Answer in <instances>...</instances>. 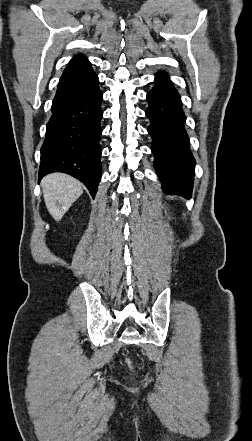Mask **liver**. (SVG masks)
<instances>
[{
    "label": "liver",
    "mask_w": 252,
    "mask_h": 441,
    "mask_svg": "<svg viewBox=\"0 0 252 441\" xmlns=\"http://www.w3.org/2000/svg\"><path fill=\"white\" fill-rule=\"evenodd\" d=\"M41 186L46 207L55 221H59L83 193L81 182L64 173L47 175Z\"/></svg>",
    "instance_id": "6515ba94"
}]
</instances>
